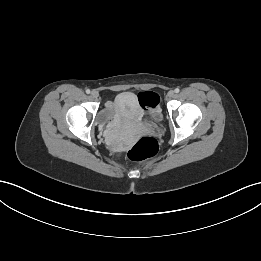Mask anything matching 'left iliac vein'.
I'll use <instances>...</instances> for the list:
<instances>
[{"instance_id": "1", "label": "left iliac vein", "mask_w": 261, "mask_h": 261, "mask_svg": "<svg viewBox=\"0 0 261 261\" xmlns=\"http://www.w3.org/2000/svg\"><path fill=\"white\" fill-rule=\"evenodd\" d=\"M174 95H175V92H174L173 90H170V91L168 92V94H167V96H168L169 98L174 97Z\"/></svg>"}]
</instances>
